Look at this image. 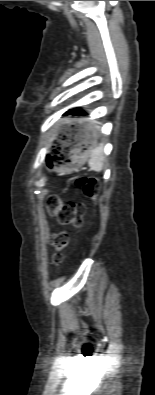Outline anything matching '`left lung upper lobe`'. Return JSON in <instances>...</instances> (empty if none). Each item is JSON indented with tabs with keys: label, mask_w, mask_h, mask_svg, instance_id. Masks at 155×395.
Segmentation results:
<instances>
[{
	"label": "left lung upper lobe",
	"mask_w": 155,
	"mask_h": 395,
	"mask_svg": "<svg viewBox=\"0 0 155 395\" xmlns=\"http://www.w3.org/2000/svg\"><path fill=\"white\" fill-rule=\"evenodd\" d=\"M81 113H82V110L80 108H74V109L68 110L64 115H67V114L81 115Z\"/></svg>",
	"instance_id": "5c2ea615"
}]
</instances>
